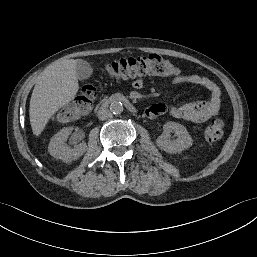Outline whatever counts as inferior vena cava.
Wrapping results in <instances>:
<instances>
[{"label": "inferior vena cava", "instance_id": "obj_1", "mask_svg": "<svg viewBox=\"0 0 257 257\" xmlns=\"http://www.w3.org/2000/svg\"><path fill=\"white\" fill-rule=\"evenodd\" d=\"M97 114L100 120H106L111 116L110 110L104 108L100 109Z\"/></svg>", "mask_w": 257, "mask_h": 257}]
</instances>
